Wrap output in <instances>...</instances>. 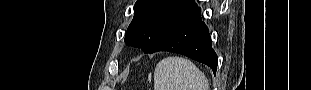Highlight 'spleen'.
<instances>
[{"mask_svg":"<svg viewBox=\"0 0 311 90\" xmlns=\"http://www.w3.org/2000/svg\"><path fill=\"white\" fill-rule=\"evenodd\" d=\"M154 90H209V84L205 75L190 60L168 57L155 68Z\"/></svg>","mask_w":311,"mask_h":90,"instance_id":"3e777b00","label":"spleen"}]
</instances>
